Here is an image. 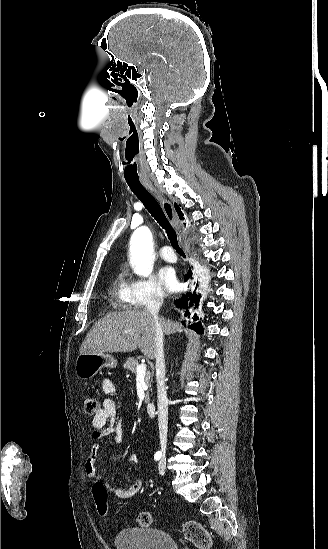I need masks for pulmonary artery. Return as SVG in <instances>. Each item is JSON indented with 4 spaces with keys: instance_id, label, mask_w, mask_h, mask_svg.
<instances>
[{
    "instance_id": "e3ab8cb5",
    "label": "pulmonary artery",
    "mask_w": 328,
    "mask_h": 549,
    "mask_svg": "<svg viewBox=\"0 0 328 549\" xmlns=\"http://www.w3.org/2000/svg\"><path fill=\"white\" fill-rule=\"evenodd\" d=\"M159 255L163 260L167 262H174L176 260L175 254L169 248L160 251Z\"/></svg>"
}]
</instances>
